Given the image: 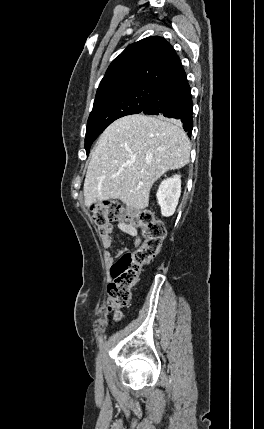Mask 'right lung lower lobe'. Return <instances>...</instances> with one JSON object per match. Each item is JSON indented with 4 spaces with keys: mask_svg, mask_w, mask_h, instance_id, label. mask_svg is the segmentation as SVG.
Here are the masks:
<instances>
[{
    "mask_svg": "<svg viewBox=\"0 0 264 429\" xmlns=\"http://www.w3.org/2000/svg\"><path fill=\"white\" fill-rule=\"evenodd\" d=\"M149 115H162L182 122L191 137L193 128V105L191 89L182 65L159 86L142 110Z\"/></svg>",
    "mask_w": 264,
    "mask_h": 429,
    "instance_id": "1",
    "label": "right lung lower lobe"
}]
</instances>
